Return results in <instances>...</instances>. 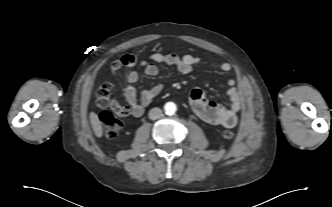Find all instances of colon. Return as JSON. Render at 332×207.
<instances>
[{"instance_id": "1", "label": "colon", "mask_w": 332, "mask_h": 207, "mask_svg": "<svg viewBox=\"0 0 332 207\" xmlns=\"http://www.w3.org/2000/svg\"><path fill=\"white\" fill-rule=\"evenodd\" d=\"M135 58L132 55H124L119 60H116L112 64V73L116 74L122 66L134 65ZM113 88V84L110 81L102 83L96 92V102L97 105L102 109L110 108L117 115H124L127 113L128 109L116 101L110 99V92ZM101 122L103 123L106 136L109 138H116L122 128V122L115 117L111 112L105 110L100 114ZM223 137L225 139H233L234 133L230 130H225L223 132Z\"/></svg>"}]
</instances>
